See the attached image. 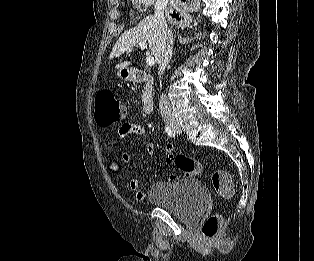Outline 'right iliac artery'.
Listing matches in <instances>:
<instances>
[{
	"label": "right iliac artery",
	"instance_id": "1",
	"mask_svg": "<svg viewBox=\"0 0 314 261\" xmlns=\"http://www.w3.org/2000/svg\"><path fill=\"white\" fill-rule=\"evenodd\" d=\"M165 131H166L168 136L175 137V133L171 130V128H169V126L165 127Z\"/></svg>",
	"mask_w": 314,
	"mask_h": 261
}]
</instances>
